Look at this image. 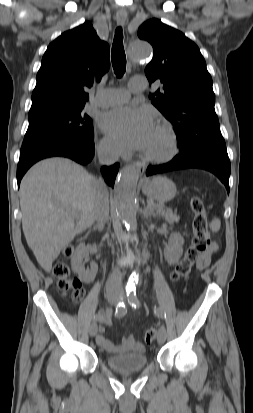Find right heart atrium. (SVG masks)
I'll list each match as a JSON object with an SVG mask.
<instances>
[{
	"instance_id": "obj_1",
	"label": "right heart atrium",
	"mask_w": 253,
	"mask_h": 413,
	"mask_svg": "<svg viewBox=\"0 0 253 413\" xmlns=\"http://www.w3.org/2000/svg\"><path fill=\"white\" fill-rule=\"evenodd\" d=\"M98 152L102 157L111 159L121 155L123 149L114 139L104 136L98 143Z\"/></svg>"
}]
</instances>
